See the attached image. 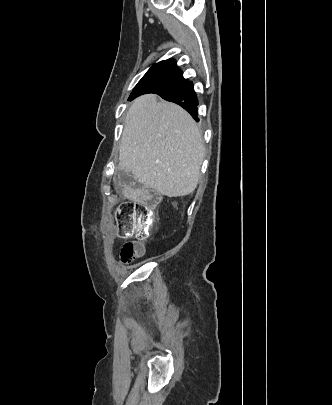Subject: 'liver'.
<instances>
[{
    "mask_svg": "<svg viewBox=\"0 0 332 405\" xmlns=\"http://www.w3.org/2000/svg\"><path fill=\"white\" fill-rule=\"evenodd\" d=\"M204 158L202 135L179 105L155 94L136 98L121 138L119 167L168 197L192 193Z\"/></svg>",
    "mask_w": 332,
    "mask_h": 405,
    "instance_id": "liver-1",
    "label": "liver"
}]
</instances>
